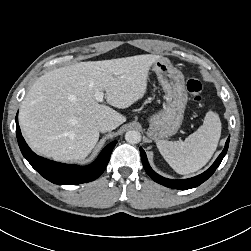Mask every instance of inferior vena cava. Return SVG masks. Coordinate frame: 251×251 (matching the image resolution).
I'll return each instance as SVG.
<instances>
[{
  "mask_svg": "<svg viewBox=\"0 0 251 251\" xmlns=\"http://www.w3.org/2000/svg\"><path fill=\"white\" fill-rule=\"evenodd\" d=\"M97 127L101 132H107L115 129V125L107 119H99L97 121Z\"/></svg>",
  "mask_w": 251,
  "mask_h": 251,
  "instance_id": "inferior-vena-cava-1",
  "label": "inferior vena cava"
}]
</instances>
